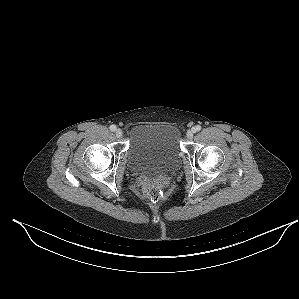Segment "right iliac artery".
Listing matches in <instances>:
<instances>
[{
	"label": "right iliac artery",
	"mask_w": 299,
	"mask_h": 299,
	"mask_svg": "<svg viewBox=\"0 0 299 299\" xmlns=\"http://www.w3.org/2000/svg\"><path fill=\"white\" fill-rule=\"evenodd\" d=\"M110 130H111L112 132H114V131L116 130V125H111V126H110Z\"/></svg>",
	"instance_id": "right-iliac-artery-1"
}]
</instances>
